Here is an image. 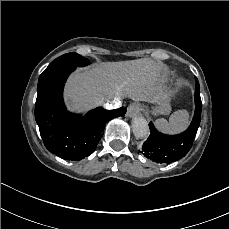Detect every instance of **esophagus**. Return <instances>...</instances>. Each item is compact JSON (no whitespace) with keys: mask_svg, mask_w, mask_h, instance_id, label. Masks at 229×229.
I'll list each match as a JSON object with an SVG mask.
<instances>
[{"mask_svg":"<svg viewBox=\"0 0 229 229\" xmlns=\"http://www.w3.org/2000/svg\"><path fill=\"white\" fill-rule=\"evenodd\" d=\"M139 110H140V108H139L138 104L137 103H132L127 108L126 116L128 118H132L139 112Z\"/></svg>","mask_w":229,"mask_h":229,"instance_id":"obj_1","label":"esophagus"}]
</instances>
